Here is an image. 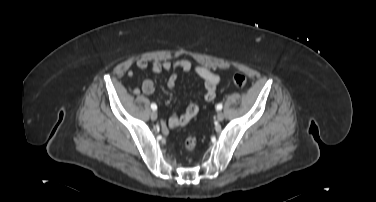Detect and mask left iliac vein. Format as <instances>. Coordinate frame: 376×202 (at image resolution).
Instances as JSON below:
<instances>
[{"label": "left iliac vein", "instance_id": "left-iliac-vein-1", "mask_svg": "<svg viewBox=\"0 0 376 202\" xmlns=\"http://www.w3.org/2000/svg\"><path fill=\"white\" fill-rule=\"evenodd\" d=\"M224 119V114L220 111L217 113V121H222Z\"/></svg>", "mask_w": 376, "mask_h": 202}]
</instances>
